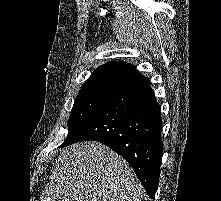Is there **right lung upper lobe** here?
I'll return each mask as SVG.
<instances>
[{
    "label": "right lung upper lobe",
    "instance_id": "obj_1",
    "mask_svg": "<svg viewBox=\"0 0 221 201\" xmlns=\"http://www.w3.org/2000/svg\"><path fill=\"white\" fill-rule=\"evenodd\" d=\"M142 75L130 64L109 62L98 67L83 84L81 89L111 87L121 89Z\"/></svg>",
    "mask_w": 221,
    "mask_h": 201
}]
</instances>
